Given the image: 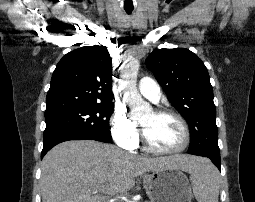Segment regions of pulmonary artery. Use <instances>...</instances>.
<instances>
[{
	"label": "pulmonary artery",
	"mask_w": 255,
	"mask_h": 202,
	"mask_svg": "<svg viewBox=\"0 0 255 202\" xmlns=\"http://www.w3.org/2000/svg\"><path fill=\"white\" fill-rule=\"evenodd\" d=\"M139 92L147 99L158 102L161 97V91L158 83L150 77H144L139 81Z\"/></svg>",
	"instance_id": "pulmonary-artery-1"
}]
</instances>
